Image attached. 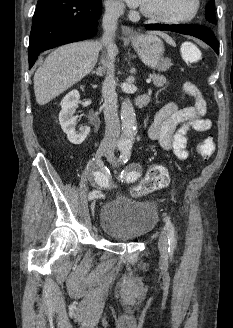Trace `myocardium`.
I'll list each match as a JSON object with an SVG mask.
<instances>
[{"label": "myocardium", "mask_w": 233, "mask_h": 328, "mask_svg": "<svg viewBox=\"0 0 233 328\" xmlns=\"http://www.w3.org/2000/svg\"><path fill=\"white\" fill-rule=\"evenodd\" d=\"M200 10H201V0H193V8L191 12L187 16L181 18H169V17L156 15L146 11L142 7L140 9V12L142 16L149 19L150 21L161 23V24L178 25V24L190 23L193 20H195L199 15Z\"/></svg>", "instance_id": "obj_1"}]
</instances>
